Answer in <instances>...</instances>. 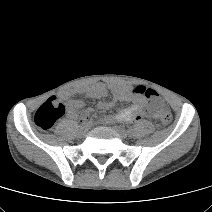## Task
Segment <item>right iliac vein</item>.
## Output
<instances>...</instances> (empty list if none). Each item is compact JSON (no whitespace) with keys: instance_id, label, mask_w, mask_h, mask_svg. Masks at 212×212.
Returning a JSON list of instances; mask_svg holds the SVG:
<instances>
[{"instance_id":"obj_1","label":"right iliac vein","mask_w":212,"mask_h":212,"mask_svg":"<svg viewBox=\"0 0 212 212\" xmlns=\"http://www.w3.org/2000/svg\"><path fill=\"white\" fill-rule=\"evenodd\" d=\"M88 129H89V126H81L78 130V134L80 136H84L87 133Z\"/></svg>"}]
</instances>
